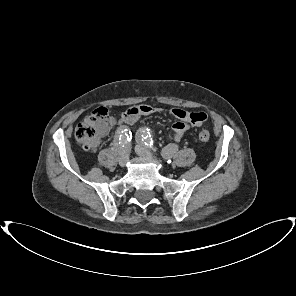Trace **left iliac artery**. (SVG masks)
<instances>
[{
	"instance_id": "obj_1",
	"label": "left iliac artery",
	"mask_w": 296,
	"mask_h": 296,
	"mask_svg": "<svg viewBox=\"0 0 296 296\" xmlns=\"http://www.w3.org/2000/svg\"><path fill=\"white\" fill-rule=\"evenodd\" d=\"M136 139L138 142H144V144L146 146H148L149 148L153 149L154 145H153V139L151 136V133L149 132V129H141L137 132L136 134Z\"/></svg>"
}]
</instances>
